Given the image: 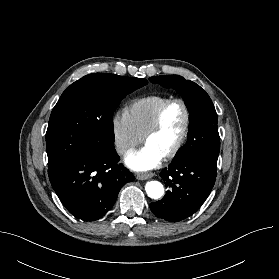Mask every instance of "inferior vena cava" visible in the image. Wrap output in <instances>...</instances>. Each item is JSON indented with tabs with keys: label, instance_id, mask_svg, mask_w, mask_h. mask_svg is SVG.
<instances>
[{
	"label": "inferior vena cava",
	"instance_id": "1",
	"mask_svg": "<svg viewBox=\"0 0 279 279\" xmlns=\"http://www.w3.org/2000/svg\"><path fill=\"white\" fill-rule=\"evenodd\" d=\"M130 150L129 146L123 143H118L117 145V151L120 154H125L126 152H128Z\"/></svg>",
	"mask_w": 279,
	"mask_h": 279
}]
</instances>
